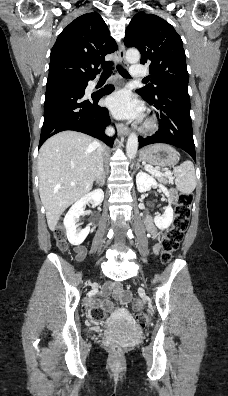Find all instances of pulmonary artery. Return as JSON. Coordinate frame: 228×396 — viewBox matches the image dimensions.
<instances>
[{
    "instance_id": "obj_1",
    "label": "pulmonary artery",
    "mask_w": 228,
    "mask_h": 396,
    "mask_svg": "<svg viewBox=\"0 0 228 396\" xmlns=\"http://www.w3.org/2000/svg\"><path fill=\"white\" fill-rule=\"evenodd\" d=\"M147 71L141 66H133L131 68V75L134 78H143L147 75Z\"/></svg>"
}]
</instances>
